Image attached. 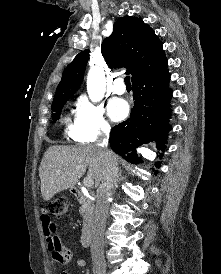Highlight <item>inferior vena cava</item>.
Here are the masks:
<instances>
[{
	"label": "inferior vena cava",
	"instance_id": "1",
	"mask_svg": "<svg viewBox=\"0 0 221 274\" xmlns=\"http://www.w3.org/2000/svg\"><path fill=\"white\" fill-rule=\"evenodd\" d=\"M103 131L104 135L99 140L98 147L104 159L105 169L101 184L97 189L95 216L92 223L91 255L94 260L103 257V233L108 216V199L115 192L118 177L116 158L107 148L110 126Z\"/></svg>",
	"mask_w": 221,
	"mask_h": 274
}]
</instances>
